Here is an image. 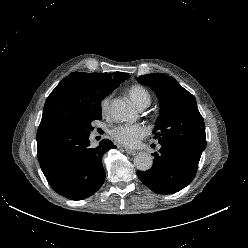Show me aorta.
<instances>
[{
    "instance_id": "1",
    "label": "aorta",
    "mask_w": 248,
    "mask_h": 248,
    "mask_svg": "<svg viewBox=\"0 0 248 248\" xmlns=\"http://www.w3.org/2000/svg\"><path fill=\"white\" fill-rule=\"evenodd\" d=\"M110 115L118 122H130L136 116V110L127 102L115 99L110 105ZM153 158L146 152H139L134 158V165L140 171H147L152 167Z\"/></svg>"
}]
</instances>
